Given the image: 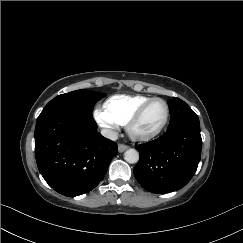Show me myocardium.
Instances as JSON below:
<instances>
[{
    "label": "myocardium",
    "mask_w": 243,
    "mask_h": 243,
    "mask_svg": "<svg viewBox=\"0 0 243 243\" xmlns=\"http://www.w3.org/2000/svg\"><path fill=\"white\" fill-rule=\"evenodd\" d=\"M163 102L165 107H166V116L165 119L162 123V125L155 130L152 133L149 134H138L134 131V127L135 125L141 120L144 112L147 110V108L152 105L155 102ZM170 119V106L168 104V102L160 97H155V98H151L149 101H147L146 103H144L143 105H141L136 112L130 117V119L128 120L127 124H126V130L128 132V135L130 136L131 139L135 140V141H149L154 139L155 137L159 136L164 129L166 128L168 122Z\"/></svg>",
    "instance_id": "obj_1"
}]
</instances>
